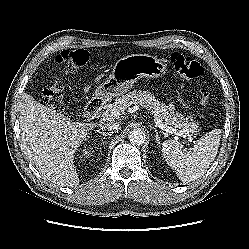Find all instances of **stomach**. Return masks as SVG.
Listing matches in <instances>:
<instances>
[{"instance_id": "stomach-1", "label": "stomach", "mask_w": 249, "mask_h": 249, "mask_svg": "<svg viewBox=\"0 0 249 249\" xmlns=\"http://www.w3.org/2000/svg\"><path fill=\"white\" fill-rule=\"evenodd\" d=\"M166 72L167 64L155 56L128 55L117 60L109 77L96 88L95 96L111 100L128 92L141 78H158L164 76Z\"/></svg>"}]
</instances>
